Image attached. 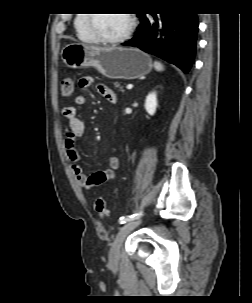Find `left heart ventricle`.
<instances>
[{"mask_svg": "<svg viewBox=\"0 0 252 303\" xmlns=\"http://www.w3.org/2000/svg\"><path fill=\"white\" fill-rule=\"evenodd\" d=\"M128 24L127 14H95L93 28L104 36L114 37L122 34Z\"/></svg>", "mask_w": 252, "mask_h": 303, "instance_id": "obj_1", "label": "left heart ventricle"}]
</instances>
